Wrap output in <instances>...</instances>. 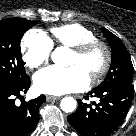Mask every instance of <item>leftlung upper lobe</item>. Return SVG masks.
Masks as SVG:
<instances>
[{
    "label": "left lung upper lobe",
    "mask_w": 136,
    "mask_h": 136,
    "mask_svg": "<svg viewBox=\"0 0 136 136\" xmlns=\"http://www.w3.org/2000/svg\"><path fill=\"white\" fill-rule=\"evenodd\" d=\"M112 49V64L105 80L97 87L118 83H133V64L123 42L106 28H102Z\"/></svg>",
    "instance_id": "1"
}]
</instances>
